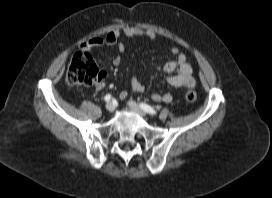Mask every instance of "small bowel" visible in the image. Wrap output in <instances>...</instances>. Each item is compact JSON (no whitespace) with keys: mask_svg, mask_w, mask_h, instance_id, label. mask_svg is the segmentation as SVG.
Returning <instances> with one entry per match:
<instances>
[{"mask_svg":"<svg viewBox=\"0 0 272 198\" xmlns=\"http://www.w3.org/2000/svg\"><path fill=\"white\" fill-rule=\"evenodd\" d=\"M124 35L129 38L133 37H146L149 39H155L156 35L147 30H142L137 27H125L122 30H114L109 32L105 37H93L90 40L84 42L81 48L85 51L92 50L103 45L116 46L119 53L122 54L125 51V45L119 41L120 36ZM172 53L175 55V59L167 62L163 66V71L168 76L166 77V82L176 88L191 89L195 86V79L192 75V67L186 57V55L179 51L178 48L172 47ZM122 58L117 55L113 58V64L115 66L120 65ZM107 85V78H100L96 84L95 89L97 91L103 90ZM131 90L134 93H140L144 91V86L138 81V79L133 76L130 80ZM127 93L122 91L120 93V98L124 99ZM151 99L155 102L170 103L172 101V96L169 93H153Z\"/></svg>","mask_w":272,"mask_h":198,"instance_id":"c3829d8e","label":"small bowel"}]
</instances>
